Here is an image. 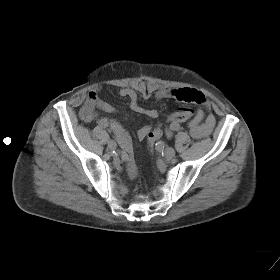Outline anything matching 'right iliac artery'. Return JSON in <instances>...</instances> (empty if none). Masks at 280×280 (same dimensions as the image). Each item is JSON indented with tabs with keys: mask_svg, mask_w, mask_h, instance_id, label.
I'll return each mask as SVG.
<instances>
[{
	"mask_svg": "<svg viewBox=\"0 0 280 280\" xmlns=\"http://www.w3.org/2000/svg\"><path fill=\"white\" fill-rule=\"evenodd\" d=\"M98 124L102 127V128H108L109 126V121L107 119H101ZM114 138L116 139V141L118 142V144L120 145V147L125 150L128 153H132L133 148L132 145L129 141L128 138H126L125 136L119 134V133H115L114 132Z\"/></svg>",
	"mask_w": 280,
	"mask_h": 280,
	"instance_id": "obj_1",
	"label": "right iliac artery"
}]
</instances>
